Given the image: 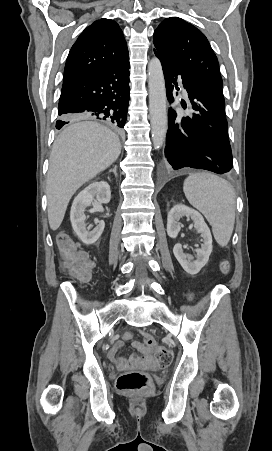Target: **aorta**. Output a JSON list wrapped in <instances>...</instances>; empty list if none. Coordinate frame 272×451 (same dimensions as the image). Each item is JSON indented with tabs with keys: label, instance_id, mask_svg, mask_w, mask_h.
I'll return each instance as SVG.
<instances>
[{
	"label": "aorta",
	"instance_id": "aorta-1",
	"mask_svg": "<svg viewBox=\"0 0 272 451\" xmlns=\"http://www.w3.org/2000/svg\"><path fill=\"white\" fill-rule=\"evenodd\" d=\"M148 88L152 142L159 150L167 134V110L164 74L158 58H152L148 64Z\"/></svg>",
	"mask_w": 272,
	"mask_h": 451
}]
</instances>
